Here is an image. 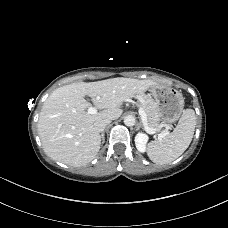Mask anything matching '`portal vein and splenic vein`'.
I'll use <instances>...</instances> for the list:
<instances>
[{"mask_svg": "<svg viewBox=\"0 0 228 228\" xmlns=\"http://www.w3.org/2000/svg\"><path fill=\"white\" fill-rule=\"evenodd\" d=\"M88 113H89V114H95V113H97V110H96L94 107H90V108L88 109ZM139 115H140V117H141L142 123H143L144 126H145L146 131H147L148 133H150V134L155 133L156 130H155V129H152V128H150V127L148 126V123H147V115H146V113H145V111L143 110L142 107L139 108ZM164 136H165L164 133H160V134L158 135L159 138H163Z\"/></svg>", "mask_w": 228, "mask_h": 228, "instance_id": "obj_1", "label": "portal vein and splenic vein"}]
</instances>
